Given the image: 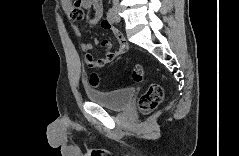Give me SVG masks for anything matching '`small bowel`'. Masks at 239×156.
I'll return each instance as SVG.
<instances>
[{"label": "small bowel", "mask_w": 239, "mask_h": 156, "mask_svg": "<svg viewBox=\"0 0 239 156\" xmlns=\"http://www.w3.org/2000/svg\"><path fill=\"white\" fill-rule=\"evenodd\" d=\"M62 9L67 15L71 28L76 36H81V30L77 25V21L84 17L85 13L89 14V23L96 25L100 22L103 6L100 0H62ZM101 27L104 29H111L118 40L119 49L113 51V43L110 40H103L101 46L105 50V54L101 58L87 57V65L90 68H100L109 64L116 56L122 55L128 51V43L121 35V33L113 27L108 18L101 21ZM92 48L91 43L83 41L81 49L83 52H89Z\"/></svg>", "instance_id": "obj_1"}]
</instances>
